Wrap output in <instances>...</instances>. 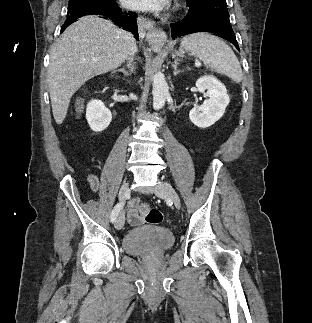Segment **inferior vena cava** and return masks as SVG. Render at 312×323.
Returning a JSON list of instances; mask_svg holds the SVG:
<instances>
[{"mask_svg":"<svg viewBox=\"0 0 312 323\" xmlns=\"http://www.w3.org/2000/svg\"><path fill=\"white\" fill-rule=\"evenodd\" d=\"M127 40H128V44H129V48H130V54L128 56V60H129L130 66H132L135 52H137L136 42H135V38H133L132 34H129V32H127Z\"/></svg>","mask_w":312,"mask_h":323,"instance_id":"602c4592","label":"inferior vena cava"}]
</instances>
